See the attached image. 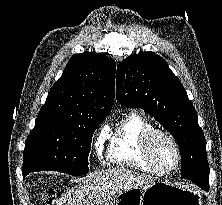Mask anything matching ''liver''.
Listing matches in <instances>:
<instances>
[{
    "mask_svg": "<svg viewBox=\"0 0 222 205\" xmlns=\"http://www.w3.org/2000/svg\"><path fill=\"white\" fill-rule=\"evenodd\" d=\"M154 178L125 168H111L82 179L55 201L56 205H94L127 190L154 182Z\"/></svg>",
    "mask_w": 222,
    "mask_h": 205,
    "instance_id": "obj_1",
    "label": "liver"
}]
</instances>
